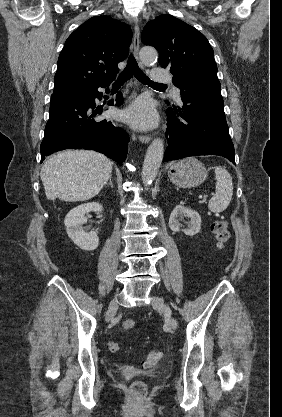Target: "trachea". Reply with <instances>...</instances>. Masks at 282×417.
Instances as JSON below:
<instances>
[{"label":"trachea","mask_w":282,"mask_h":417,"mask_svg":"<svg viewBox=\"0 0 282 417\" xmlns=\"http://www.w3.org/2000/svg\"><path fill=\"white\" fill-rule=\"evenodd\" d=\"M137 78L139 82L144 83L145 85H162L166 86V84L153 82L148 78L142 70L139 68L135 58L133 55H130L128 58V62L126 65V68L123 70V72L119 75L116 82L113 83V87H122L127 80H129L132 77Z\"/></svg>","instance_id":"trachea-1"}]
</instances>
